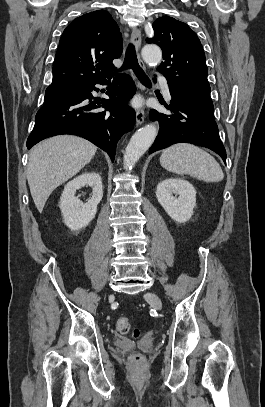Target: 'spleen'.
Segmentation results:
<instances>
[{
    "label": "spleen",
    "mask_w": 265,
    "mask_h": 407,
    "mask_svg": "<svg viewBox=\"0 0 265 407\" xmlns=\"http://www.w3.org/2000/svg\"><path fill=\"white\" fill-rule=\"evenodd\" d=\"M160 164L166 170L178 175H190L205 182H219L224 178L216 159L192 144L178 143L165 149Z\"/></svg>",
    "instance_id": "1"
}]
</instances>
